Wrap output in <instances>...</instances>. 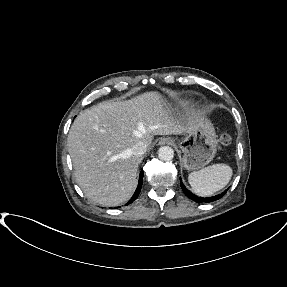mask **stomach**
Returning a JSON list of instances; mask_svg holds the SVG:
<instances>
[{
    "mask_svg": "<svg viewBox=\"0 0 287 287\" xmlns=\"http://www.w3.org/2000/svg\"><path fill=\"white\" fill-rule=\"evenodd\" d=\"M179 147L187 170H198L209 164L217 151L216 133L211 122L207 119L198 121L182 139Z\"/></svg>",
    "mask_w": 287,
    "mask_h": 287,
    "instance_id": "stomach-1",
    "label": "stomach"
}]
</instances>
